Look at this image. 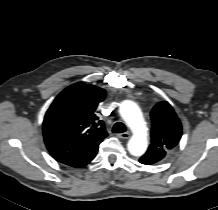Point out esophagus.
<instances>
[{
    "instance_id": "34e87169",
    "label": "esophagus",
    "mask_w": 218,
    "mask_h": 210,
    "mask_svg": "<svg viewBox=\"0 0 218 210\" xmlns=\"http://www.w3.org/2000/svg\"><path fill=\"white\" fill-rule=\"evenodd\" d=\"M117 137L121 139H128L130 137V134L128 132H124V133L117 134Z\"/></svg>"
}]
</instances>
